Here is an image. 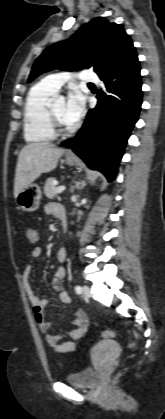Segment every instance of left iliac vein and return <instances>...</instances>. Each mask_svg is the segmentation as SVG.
<instances>
[{
    "label": "left iliac vein",
    "mask_w": 165,
    "mask_h": 419,
    "mask_svg": "<svg viewBox=\"0 0 165 419\" xmlns=\"http://www.w3.org/2000/svg\"><path fill=\"white\" fill-rule=\"evenodd\" d=\"M91 297L90 289L88 286H83L82 288V298L88 300Z\"/></svg>",
    "instance_id": "1"
}]
</instances>
